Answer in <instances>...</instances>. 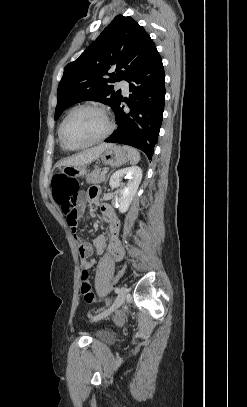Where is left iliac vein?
Instances as JSON below:
<instances>
[{"instance_id":"4c4485c4","label":"left iliac vein","mask_w":247,"mask_h":407,"mask_svg":"<svg viewBox=\"0 0 247 407\" xmlns=\"http://www.w3.org/2000/svg\"><path fill=\"white\" fill-rule=\"evenodd\" d=\"M126 296H127V288L121 287L113 305L109 309H107V310L103 311L102 313L93 317L92 321H98V320L104 319L105 317H107L108 315L113 313L116 309H118L124 303Z\"/></svg>"}]
</instances>
